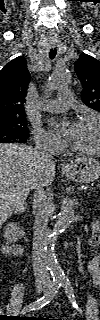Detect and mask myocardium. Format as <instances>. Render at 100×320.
Here are the masks:
<instances>
[{"instance_id": "obj_1", "label": "myocardium", "mask_w": 100, "mask_h": 320, "mask_svg": "<svg viewBox=\"0 0 100 320\" xmlns=\"http://www.w3.org/2000/svg\"><path fill=\"white\" fill-rule=\"evenodd\" d=\"M88 120H93L98 124V141L97 145L95 148L92 149H82L78 148L74 145H72L70 142L67 143V147L79 154H84V155H95L100 152V117L96 114L93 113H87L79 117L77 123L88 121Z\"/></svg>"}]
</instances>
